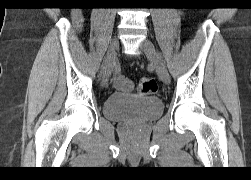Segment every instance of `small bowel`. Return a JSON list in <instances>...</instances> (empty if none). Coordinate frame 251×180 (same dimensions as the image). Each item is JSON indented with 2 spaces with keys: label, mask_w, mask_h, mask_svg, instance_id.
I'll list each match as a JSON object with an SVG mask.
<instances>
[{
  "label": "small bowel",
  "mask_w": 251,
  "mask_h": 180,
  "mask_svg": "<svg viewBox=\"0 0 251 180\" xmlns=\"http://www.w3.org/2000/svg\"><path fill=\"white\" fill-rule=\"evenodd\" d=\"M73 21L78 29H81L83 18L80 13L73 14ZM115 87L122 91H129L132 89V83L121 75H116L114 78Z\"/></svg>",
  "instance_id": "1"
}]
</instances>
